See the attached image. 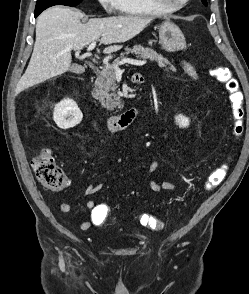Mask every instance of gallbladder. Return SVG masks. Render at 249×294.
Returning <instances> with one entry per match:
<instances>
[{
  "label": "gallbladder",
  "instance_id": "bac80fb5",
  "mask_svg": "<svg viewBox=\"0 0 249 294\" xmlns=\"http://www.w3.org/2000/svg\"><path fill=\"white\" fill-rule=\"evenodd\" d=\"M70 71L73 72V73H82L83 72V68L79 65H72L71 68H70Z\"/></svg>",
  "mask_w": 249,
  "mask_h": 294
}]
</instances>
